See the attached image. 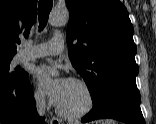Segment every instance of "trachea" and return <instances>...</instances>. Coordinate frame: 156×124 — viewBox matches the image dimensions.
Listing matches in <instances>:
<instances>
[{"label": "trachea", "instance_id": "trachea-1", "mask_svg": "<svg viewBox=\"0 0 156 124\" xmlns=\"http://www.w3.org/2000/svg\"><path fill=\"white\" fill-rule=\"evenodd\" d=\"M53 0H40L38 3L39 29L43 30L47 24Z\"/></svg>", "mask_w": 156, "mask_h": 124}]
</instances>
